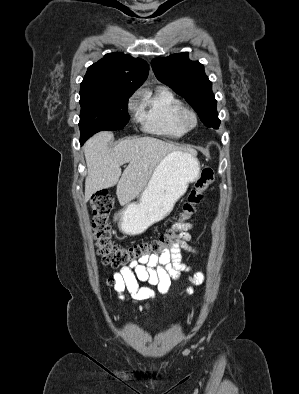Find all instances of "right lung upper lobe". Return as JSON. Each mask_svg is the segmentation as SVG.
Returning <instances> with one entry per match:
<instances>
[{
    "instance_id": "obj_1",
    "label": "right lung upper lobe",
    "mask_w": 299,
    "mask_h": 394,
    "mask_svg": "<svg viewBox=\"0 0 299 394\" xmlns=\"http://www.w3.org/2000/svg\"><path fill=\"white\" fill-rule=\"evenodd\" d=\"M148 71V64L140 58L109 53L88 68L80 91L136 90L146 80Z\"/></svg>"
}]
</instances>
